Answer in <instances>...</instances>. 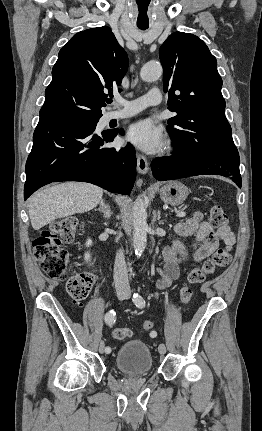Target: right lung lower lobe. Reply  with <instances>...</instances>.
Masks as SVG:
<instances>
[{
    "label": "right lung lower lobe",
    "instance_id": "obj_1",
    "mask_svg": "<svg viewBox=\"0 0 262 431\" xmlns=\"http://www.w3.org/2000/svg\"><path fill=\"white\" fill-rule=\"evenodd\" d=\"M85 119L40 120L26 162L24 199L51 182L83 181L128 195L136 178V156L130 144L107 148L118 130L94 134ZM123 135L124 131L120 130Z\"/></svg>",
    "mask_w": 262,
    "mask_h": 431
}]
</instances>
